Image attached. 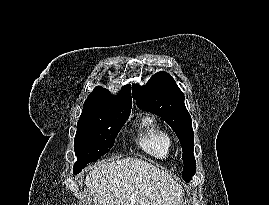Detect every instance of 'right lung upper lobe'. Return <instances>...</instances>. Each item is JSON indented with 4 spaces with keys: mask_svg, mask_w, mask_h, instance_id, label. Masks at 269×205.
Masks as SVG:
<instances>
[{
    "mask_svg": "<svg viewBox=\"0 0 269 205\" xmlns=\"http://www.w3.org/2000/svg\"><path fill=\"white\" fill-rule=\"evenodd\" d=\"M132 107L130 85L124 86L117 98L108 90L97 86L87 97L81 117H119L129 116Z\"/></svg>",
    "mask_w": 269,
    "mask_h": 205,
    "instance_id": "obj_1",
    "label": "right lung upper lobe"
}]
</instances>
